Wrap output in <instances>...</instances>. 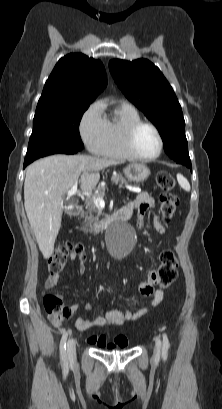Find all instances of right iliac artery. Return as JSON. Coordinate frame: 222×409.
Instances as JSON below:
<instances>
[{"label":"right iliac artery","mask_w":222,"mask_h":409,"mask_svg":"<svg viewBox=\"0 0 222 409\" xmlns=\"http://www.w3.org/2000/svg\"><path fill=\"white\" fill-rule=\"evenodd\" d=\"M68 333H64L60 341V358L64 364H67V354H66V340Z\"/></svg>","instance_id":"82829eb1"}]
</instances>
